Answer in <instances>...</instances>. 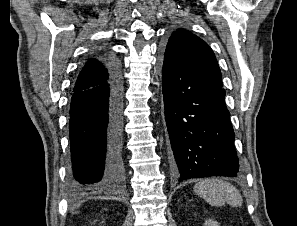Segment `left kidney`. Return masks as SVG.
Segmentation results:
<instances>
[{"label": "left kidney", "mask_w": 297, "mask_h": 226, "mask_svg": "<svg viewBox=\"0 0 297 226\" xmlns=\"http://www.w3.org/2000/svg\"><path fill=\"white\" fill-rule=\"evenodd\" d=\"M204 226H219L217 221H214L213 219H209L205 221Z\"/></svg>", "instance_id": "1"}]
</instances>
